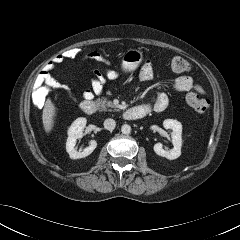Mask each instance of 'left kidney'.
<instances>
[{"mask_svg": "<svg viewBox=\"0 0 240 240\" xmlns=\"http://www.w3.org/2000/svg\"><path fill=\"white\" fill-rule=\"evenodd\" d=\"M165 129L172 130L171 137L174 148L171 150H164L161 143H156L153 147L155 153L159 156L165 157L169 160L177 159L181 155L182 147V125L179 121L174 119H166L163 122Z\"/></svg>", "mask_w": 240, "mask_h": 240, "instance_id": "5707ae66", "label": "left kidney"}]
</instances>
